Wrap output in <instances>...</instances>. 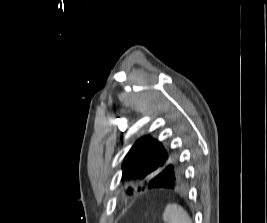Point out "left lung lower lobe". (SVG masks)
Here are the masks:
<instances>
[{
  "mask_svg": "<svg viewBox=\"0 0 267 223\" xmlns=\"http://www.w3.org/2000/svg\"><path fill=\"white\" fill-rule=\"evenodd\" d=\"M184 176H190V171H166L154 173L150 182H141L139 190H145V195H175V190L188 189Z\"/></svg>",
  "mask_w": 267,
  "mask_h": 223,
  "instance_id": "obj_1",
  "label": "left lung lower lobe"
}]
</instances>
